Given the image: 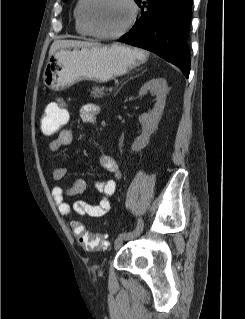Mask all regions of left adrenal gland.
I'll return each mask as SVG.
<instances>
[{
	"label": "left adrenal gland",
	"instance_id": "1",
	"mask_svg": "<svg viewBox=\"0 0 245 319\" xmlns=\"http://www.w3.org/2000/svg\"><path fill=\"white\" fill-rule=\"evenodd\" d=\"M144 72H145V70H143V71L141 72V74L144 73ZM141 74H139V75H141ZM136 76H138V75H136ZM124 84H125V82H124ZM121 87H122V86H121ZM121 87H120V88H121ZM120 88H119V89H120Z\"/></svg>",
	"mask_w": 245,
	"mask_h": 319
}]
</instances>
